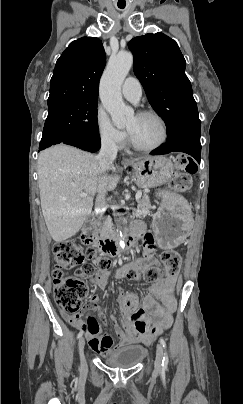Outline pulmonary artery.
Returning a JSON list of instances; mask_svg holds the SVG:
<instances>
[{"label":"pulmonary artery","mask_w":243,"mask_h":404,"mask_svg":"<svg viewBox=\"0 0 243 404\" xmlns=\"http://www.w3.org/2000/svg\"><path fill=\"white\" fill-rule=\"evenodd\" d=\"M121 91L126 99L136 102L142 95V86L136 77L128 76L122 84Z\"/></svg>","instance_id":"pulmonary-artery-1"}]
</instances>
